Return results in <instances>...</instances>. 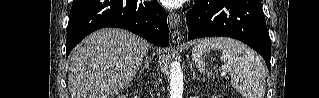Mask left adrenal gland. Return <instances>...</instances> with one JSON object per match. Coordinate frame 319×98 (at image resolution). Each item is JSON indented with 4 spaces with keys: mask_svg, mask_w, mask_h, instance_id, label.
Here are the masks:
<instances>
[{
    "mask_svg": "<svg viewBox=\"0 0 319 98\" xmlns=\"http://www.w3.org/2000/svg\"><path fill=\"white\" fill-rule=\"evenodd\" d=\"M190 69H191V72H192V75H193V79L199 80V78L196 77V74H195L192 66H190Z\"/></svg>",
    "mask_w": 319,
    "mask_h": 98,
    "instance_id": "1",
    "label": "left adrenal gland"
}]
</instances>
